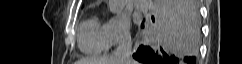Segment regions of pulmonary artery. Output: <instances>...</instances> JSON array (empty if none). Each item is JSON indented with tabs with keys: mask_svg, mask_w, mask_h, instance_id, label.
Listing matches in <instances>:
<instances>
[{
	"mask_svg": "<svg viewBox=\"0 0 242 64\" xmlns=\"http://www.w3.org/2000/svg\"><path fill=\"white\" fill-rule=\"evenodd\" d=\"M136 9L145 12L149 9V4L147 0H136L134 2Z\"/></svg>",
	"mask_w": 242,
	"mask_h": 64,
	"instance_id": "e3ab8cb5",
	"label": "pulmonary artery"
}]
</instances>
